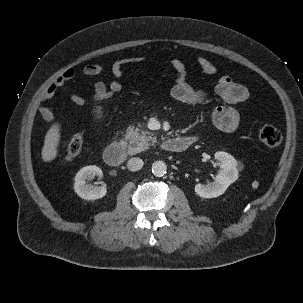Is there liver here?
I'll return each mask as SVG.
<instances>
[{
	"instance_id": "1",
	"label": "liver",
	"mask_w": 303,
	"mask_h": 303,
	"mask_svg": "<svg viewBox=\"0 0 303 303\" xmlns=\"http://www.w3.org/2000/svg\"><path fill=\"white\" fill-rule=\"evenodd\" d=\"M60 131L61 126L59 123L52 124L47 131L41 153L44 162H51L57 157L61 138Z\"/></svg>"
}]
</instances>
